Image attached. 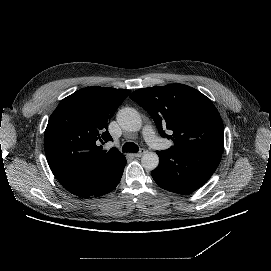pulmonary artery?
Returning a JSON list of instances; mask_svg holds the SVG:
<instances>
[{
	"mask_svg": "<svg viewBox=\"0 0 271 271\" xmlns=\"http://www.w3.org/2000/svg\"><path fill=\"white\" fill-rule=\"evenodd\" d=\"M145 140L150 143L152 139L154 138V132L151 127H146L143 132Z\"/></svg>",
	"mask_w": 271,
	"mask_h": 271,
	"instance_id": "pulmonary-artery-1",
	"label": "pulmonary artery"
}]
</instances>
